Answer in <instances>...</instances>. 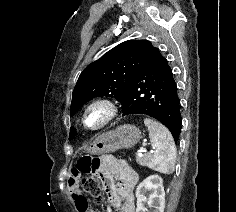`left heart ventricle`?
Masks as SVG:
<instances>
[{"mask_svg": "<svg viewBox=\"0 0 236 212\" xmlns=\"http://www.w3.org/2000/svg\"><path fill=\"white\" fill-rule=\"evenodd\" d=\"M103 117V111L101 109H95L87 116V124L90 126H95L102 121Z\"/></svg>", "mask_w": 236, "mask_h": 212, "instance_id": "1", "label": "left heart ventricle"}]
</instances>
